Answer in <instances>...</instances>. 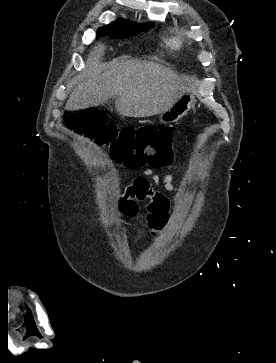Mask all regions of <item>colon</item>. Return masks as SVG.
<instances>
[{
    "label": "colon",
    "instance_id": "1",
    "mask_svg": "<svg viewBox=\"0 0 276 363\" xmlns=\"http://www.w3.org/2000/svg\"><path fill=\"white\" fill-rule=\"evenodd\" d=\"M68 127L79 135L100 141H112V151L127 167L161 168L173 159V134L164 128L142 127L117 129L107 123L104 114L93 108L81 109L67 117ZM167 222V212L160 218L149 217V226L161 229Z\"/></svg>",
    "mask_w": 276,
    "mask_h": 363
}]
</instances>
